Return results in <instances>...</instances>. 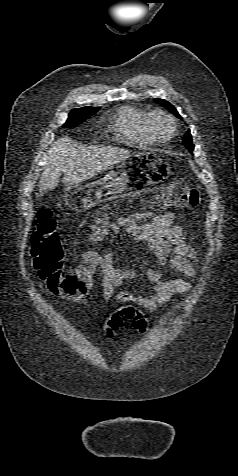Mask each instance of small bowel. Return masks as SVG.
I'll use <instances>...</instances> for the list:
<instances>
[{
	"mask_svg": "<svg viewBox=\"0 0 238 476\" xmlns=\"http://www.w3.org/2000/svg\"><path fill=\"white\" fill-rule=\"evenodd\" d=\"M127 234L135 243L143 245L147 254L154 255L161 266H167L186 275L189 280H165L160 270L146 267L145 277L151 283L148 295H135L129 291L115 294L116 289L135 277L132 269H119L113 265V253L101 256L94 250L81 254L82 270L88 272L99 267L102 273L103 295L106 299L115 297L124 303H133L150 311L162 307L174 294L187 293L192 288V279L196 274V254L187 243L181 226L173 224L170 213L153 215L149 212L132 213L105 225L100 230H92L89 241H95L109 234ZM93 291V283L83 290L58 292L73 303L87 304Z\"/></svg>",
	"mask_w": 238,
	"mask_h": 476,
	"instance_id": "small-bowel-1",
	"label": "small bowel"
}]
</instances>
